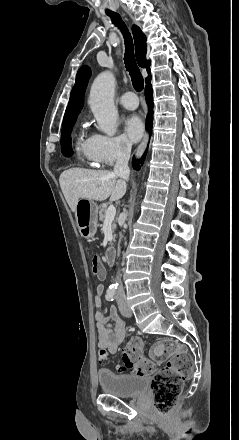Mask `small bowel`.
<instances>
[{"label":"small bowel","instance_id":"c3829d8e","mask_svg":"<svg viewBox=\"0 0 239 440\" xmlns=\"http://www.w3.org/2000/svg\"><path fill=\"white\" fill-rule=\"evenodd\" d=\"M103 292L104 286L102 284L97 285L94 295V304L97 308L95 321L98 347L101 351L116 353L125 339V322L119 316L115 307H111L107 316L101 312Z\"/></svg>","mask_w":239,"mask_h":440}]
</instances>
